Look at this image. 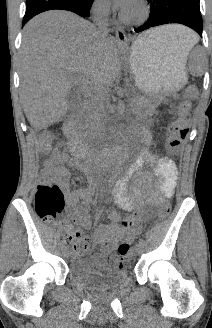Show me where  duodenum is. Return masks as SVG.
Listing matches in <instances>:
<instances>
[{
  "instance_id": "obj_1",
  "label": "duodenum",
  "mask_w": 212,
  "mask_h": 328,
  "mask_svg": "<svg viewBox=\"0 0 212 328\" xmlns=\"http://www.w3.org/2000/svg\"><path fill=\"white\" fill-rule=\"evenodd\" d=\"M75 114H72L63 124L65 134L69 137L71 143V149L75 155L80 167L83 170H87L88 166L85 161L87 153V145L83 138L77 133L75 127Z\"/></svg>"
}]
</instances>
